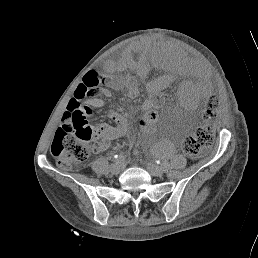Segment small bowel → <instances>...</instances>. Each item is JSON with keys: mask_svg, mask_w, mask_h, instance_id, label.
Listing matches in <instances>:
<instances>
[{"mask_svg": "<svg viewBox=\"0 0 258 258\" xmlns=\"http://www.w3.org/2000/svg\"><path fill=\"white\" fill-rule=\"evenodd\" d=\"M130 61H131V57H130V55H127V57H125L123 59V64H128V63H130ZM108 67H114V64H108ZM90 103L95 106L102 105V103L98 99H92L90 101ZM110 116L112 119H114V120L116 119L115 115L111 114ZM120 128L121 127L119 125H117L114 128L104 127L102 129H100V135L97 138V139H99V142L95 146L94 150L96 152H100V151H104V150L108 149L109 145H110V141L113 140L120 133ZM144 141L146 143H150V138L145 137ZM157 148H159L160 150H165L168 155H171L174 151V146L171 143H166L164 145L158 144Z\"/></svg>", "mask_w": 258, "mask_h": 258, "instance_id": "obj_1", "label": "small bowel"}]
</instances>
